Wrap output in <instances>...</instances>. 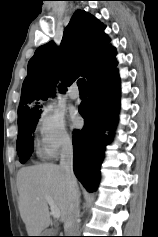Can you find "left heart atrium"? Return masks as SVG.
Masks as SVG:
<instances>
[{
	"label": "left heart atrium",
	"mask_w": 158,
	"mask_h": 237,
	"mask_svg": "<svg viewBox=\"0 0 158 237\" xmlns=\"http://www.w3.org/2000/svg\"><path fill=\"white\" fill-rule=\"evenodd\" d=\"M70 119L74 127H80L82 125V119L77 113H73Z\"/></svg>",
	"instance_id": "obj_1"
}]
</instances>
